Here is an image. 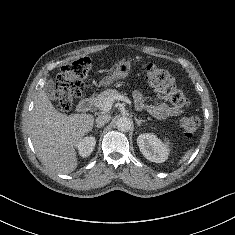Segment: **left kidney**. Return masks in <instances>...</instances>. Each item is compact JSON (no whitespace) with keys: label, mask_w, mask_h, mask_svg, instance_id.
Returning <instances> with one entry per match:
<instances>
[{"label":"left kidney","mask_w":235,"mask_h":235,"mask_svg":"<svg viewBox=\"0 0 235 235\" xmlns=\"http://www.w3.org/2000/svg\"><path fill=\"white\" fill-rule=\"evenodd\" d=\"M137 144L143 156L151 162L163 163L168 159L169 141L164 143L152 133H143L138 136Z\"/></svg>","instance_id":"5707ae66"}]
</instances>
